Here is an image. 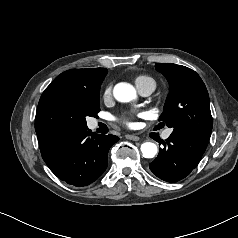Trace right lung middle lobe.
<instances>
[{
	"instance_id": "1",
	"label": "right lung middle lobe",
	"mask_w": 238,
	"mask_h": 238,
	"mask_svg": "<svg viewBox=\"0 0 238 238\" xmlns=\"http://www.w3.org/2000/svg\"><path fill=\"white\" fill-rule=\"evenodd\" d=\"M97 72L100 83L96 88L76 91L69 99L71 107V115L67 120L69 129L86 127V116H96L100 111V85L107 74V69L99 68Z\"/></svg>"
}]
</instances>
